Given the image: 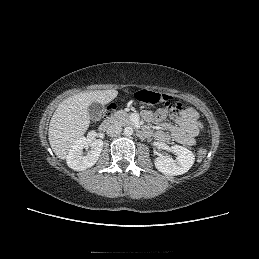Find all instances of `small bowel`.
<instances>
[{
    "mask_svg": "<svg viewBox=\"0 0 259 259\" xmlns=\"http://www.w3.org/2000/svg\"><path fill=\"white\" fill-rule=\"evenodd\" d=\"M141 115L145 121L159 126L155 132V137L164 142L175 141L192 146L196 144L202 129L198 113L193 108H185L177 115H173L172 124L165 122L167 118L165 110H144Z\"/></svg>",
    "mask_w": 259,
    "mask_h": 259,
    "instance_id": "obj_1",
    "label": "small bowel"
}]
</instances>
